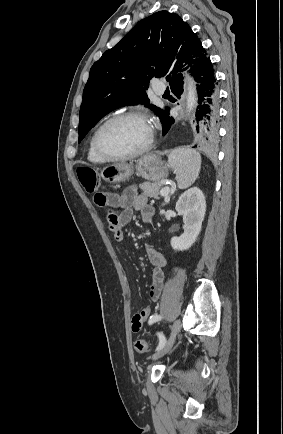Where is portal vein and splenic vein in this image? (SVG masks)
<instances>
[{"mask_svg":"<svg viewBox=\"0 0 283 434\" xmlns=\"http://www.w3.org/2000/svg\"><path fill=\"white\" fill-rule=\"evenodd\" d=\"M170 193V188L169 187H165L163 189H161L160 194L161 196H165L167 199L168 194Z\"/></svg>","mask_w":283,"mask_h":434,"instance_id":"18ae733b","label":"portal vein and splenic vein"}]
</instances>
